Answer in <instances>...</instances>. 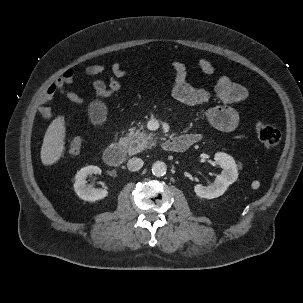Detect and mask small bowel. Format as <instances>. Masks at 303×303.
I'll use <instances>...</instances> for the list:
<instances>
[{
  "label": "small bowel",
  "mask_w": 303,
  "mask_h": 303,
  "mask_svg": "<svg viewBox=\"0 0 303 303\" xmlns=\"http://www.w3.org/2000/svg\"><path fill=\"white\" fill-rule=\"evenodd\" d=\"M140 59H131L126 61H117L110 68L100 64H92L85 68V73L89 76H96L102 73L107 74L108 80L94 79L92 86L95 95L100 98L106 91L115 93L121 89L119 79L131 74L132 71L141 70L144 68L142 64H136L132 68L124 67L128 62H139ZM199 69L207 75H212L216 72L215 65L206 58H199L197 61ZM173 74L170 77L171 95L172 97L186 105L203 104L211 99L218 100L221 104L210 107L205 110L204 118L206 122L224 132L235 130L239 124V114L230 105L241 102L248 97L247 89L233 81L228 76L220 77L212 89L201 88L192 85L188 80V70L186 65L180 60L172 62ZM75 73L69 69L65 71L55 82H53L43 93L38 111L46 120L53 118L52 109L50 107L51 100L56 95H62L69 101L75 104H83V99L77 93L68 90L67 87L73 83ZM194 140V143L199 141L201 134L197 132L186 134Z\"/></svg>",
  "instance_id": "c3829d8e"
}]
</instances>
